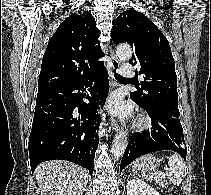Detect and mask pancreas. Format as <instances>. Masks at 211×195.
I'll list each match as a JSON object with an SVG mask.
<instances>
[{"label": "pancreas", "instance_id": "pancreas-1", "mask_svg": "<svg viewBox=\"0 0 211 195\" xmlns=\"http://www.w3.org/2000/svg\"><path fill=\"white\" fill-rule=\"evenodd\" d=\"M159 185H160L162 188H165V189L168 188V183H167L166 181L160 182Z\"/></svg>", "mask_w": 211, "mask_h": 195}]
</instances>
